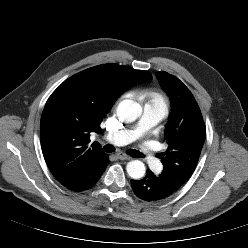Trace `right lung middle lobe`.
I'll return each instance as SVG.
<instances>
[{
  "mask_svg": "<svg viewBox=\"0 0 248 248\" xmlns=\"http://www.w3.org/2000/svg\"><path fill=\"white\" fill-rule=\"evenodd\" d=\"M130 75L134 78V76H136V72L133 71V72L130 73Z\"/></svg>",
  "mask_w": 248,
  "mask_h": 248,
  "instance_id": "1",
  "label": "right lung middle lobe"
}]
</instances>
